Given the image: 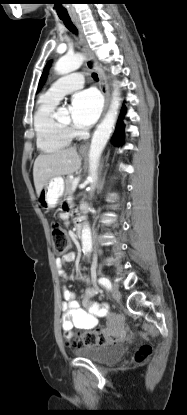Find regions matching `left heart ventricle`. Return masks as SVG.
Returning a JSON list of instances; mask_svg holds the SVG:
<instances>
[{
    "label": "left heart ventricle",
    "mask_w": 187,
    "mask_h": 415,
    "mask_svg": "<svg viewBox=\"0 0 187 415\" xmlns=\"http://www.w3.org/2000/svg\"><path fill=\"white\" fill-rule=\"evenodd\" d=\"M59 121L62 124L70 125V123H71L70 115L66 114V115L62 116Z\"/></svg>",
    "instance_id": "1"
}]
</instances>
